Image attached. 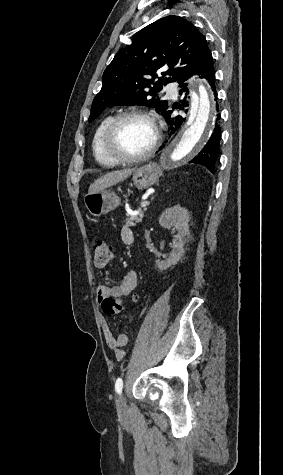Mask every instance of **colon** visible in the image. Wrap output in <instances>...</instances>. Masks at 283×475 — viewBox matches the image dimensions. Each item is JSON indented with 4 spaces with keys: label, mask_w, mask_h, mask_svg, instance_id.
<instances>
[{
    "label": "colon",
    "mask_w": 283,
    "mask_h": 475,
    "mask_svg": "<svg viewBox=\"0 0 283 475\" xmlns=\"http://www.w3.org/2000/svg\"><path fill=\"white\" fill-rule=\"evenodd\" d=\"M114 251V247L110 243L101 239L96 240L93 243L94 265L104 267L112 258ZM102 304L106 314H118L124 305L122 300H112L110 298H104Z\"/></svg>",
    "instance_id": "colon-1"
}]
</instances>
